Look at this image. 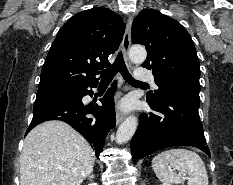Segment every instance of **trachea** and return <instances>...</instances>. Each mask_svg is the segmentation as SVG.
<instances>
[{"label":"trachea","mask_w":233,"mask_h":185,"mask_svg":"<svg viewBox=\"0 0 233 185\" xmlns=\"http://www.w3.org/2000/svg\"><path fill=\"white\" fill-rule=\"evenodd\" d=\"M118 72L121 73L123 79L129 84H145L132 77L125 65L121 52H119L115 62L110 67L100 72V84H109Z\"/></svg>","instance_id":"1"}]
</instances>
